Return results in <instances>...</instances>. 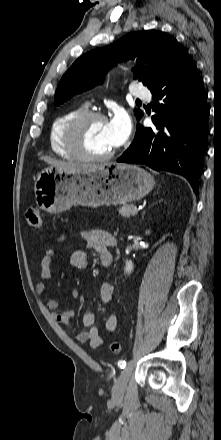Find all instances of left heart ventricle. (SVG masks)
Listing matches in <instances>:
<instances>
[{
  "label": "left heart ventricle",
  "mask_w": 221,
  "mask_h": 440,
  "mask_svg": "<svg viewBox=\"0 0 221 440\" xmlns=\"http://www.w3.org/2000/svg\"><path fill=\"white\" fill-rule=\"evenodd\" d=\"M82 142L85 149L94 155L109 152L114 147L111 144L108 122L102 120L89 121L83 129Z\"/></svg>",
  "instance_id": "left-heart-ventricle-1"
}]
</instances>
